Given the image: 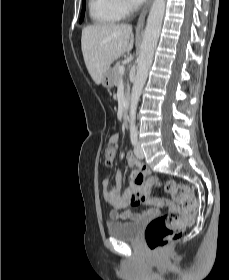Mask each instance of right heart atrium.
I'll return each instance as SVG.
<instances>
[{
	"label": "right heart atrium",
	"mask_w": 229,
	"mask_h": 280,
	"mask_svg": "<svg viewBox=\"0 0 229 280\" xmlns=\"http://www.w3.org/2000/svg\"><path fill=\"white\" fill-rule=\"evenodd\" d=\"M122 17L128 16L136 8L135 0H114Z\"/></svg>",
	"instance_id": "d8ad5b80"
}]
</instances>
